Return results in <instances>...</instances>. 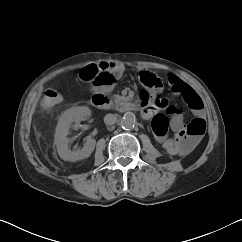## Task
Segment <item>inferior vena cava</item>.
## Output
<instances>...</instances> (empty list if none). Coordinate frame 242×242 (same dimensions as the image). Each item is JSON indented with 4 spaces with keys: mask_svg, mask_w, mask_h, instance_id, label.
<instances>
[{
    "mask_svg": "<svg viewBox=\"0 0 242 242\" xmlns=\"http://www.w3.org/2000/svg\"><path fill=\"white\" fill-rule=\"evenodd\" d=\"M117 122V115L116 114H107L104 117V123L106 125H113Z\"/></svg>",
    "mask_w": 242,
    "mask_h": 242,
    "instance_id": "1",
    "label": "inferior vena cava"
}]
</instances>
